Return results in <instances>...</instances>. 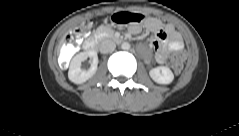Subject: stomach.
Wrapping results in <instances>:
<instances>
[{
  "label": "stomach",
  "mask_w": 239,
  "mask_h": 136,
  "mask_svg": "<svg viewBox=\"0 0 239 136\" xmlns=\"http://www.w3.org/2000/svg\"><path fill=\"white\" fill-rule=\"evenodd\" d=\"M144 22L145 15L141 13L116 12L112 14L113 24L134 25Z\"/></svg>",
  "instance_id": "1"
}]
</instances>
